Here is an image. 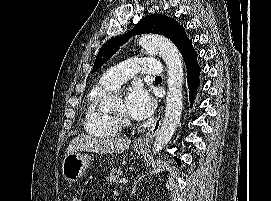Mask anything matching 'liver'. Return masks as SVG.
<instances>
[{"mask_svg": "<svg viewBox=\"0 0 271 201\" xmlns=\"http://www.w3.org/2000/svg\"><path fill=\"white\" fill-rule=\"evenodd\" d=\"M131 140L127 137L97 138L89 135H78L70 142L65 156L75 152L115 153L129 148Z\"/></svg>", "mask_w": 271, "mask_h": 201, "instance_id": "liver-1", "label": "liver"}]
</instances>
